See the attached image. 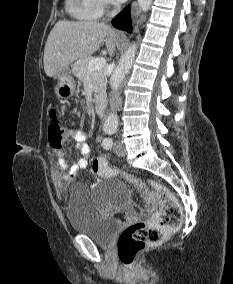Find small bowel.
Masks as SVG:
<instances>
[{
	"instance_id": "obj_1",
	"label": "small bowel",
	"mask_w": 233,
	"mask_h": 284,
	"mask_svg": "<svg viewBox=\"0 0 233 284\" xmlns=\"http://www.w3.org/2000/svg\"><path fill=\"white\" fill-rule=\"evenodd\" d=\"M68 134L76 141V150L81 154V158L69 167V156L66 153L58 152L54 161L53 178L54 182L59 186L64 182L74 181L77 173L88 166L90 147L87 143V135L79 129H70Z\"/></svg>"
}]
</instances>
